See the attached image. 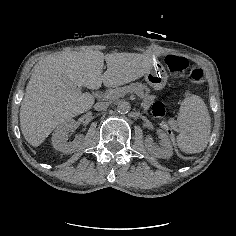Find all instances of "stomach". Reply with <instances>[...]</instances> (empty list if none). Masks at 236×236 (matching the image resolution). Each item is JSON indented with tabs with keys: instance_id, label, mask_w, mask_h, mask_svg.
Returning <instances> with one entry per match:
<instances>
[{
	"instance_id": "1",
	"label": "stomach",
	"mask_w": 236,
	"mask_h": 236,
	"mask_svg": "<svg viewBox=\"0 0 236 236\" xmlns=\"http://www.w3.org/2000/svg\"><path fill=\"white\" fill-rule=\"evenodd\" d=\"M168 76L165 69L157 64L145 76L146 82L155 90L162 89L167 82Z\"/></svg>"
}]
</instances>
